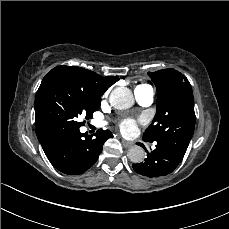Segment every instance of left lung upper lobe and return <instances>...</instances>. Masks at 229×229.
Returning <instances> with one entry per match:
<instances>
[{"instance_id":"5c2ea615","label":"left lung upper lobe","mask_w":229,"mask_h":229,"mask_svg":"<svg viewBox=\"0 0 229 229\" xmlns=\"http://www.w3.org/2000/svg\"><path fill=\"white\" fill-rule=\"evenodd\" d=\"M148 75L157 89V113L143 140L167 144L184 155L196 121L192 87L183 74L172 68Z\"/></svg>"}]
</instances>
